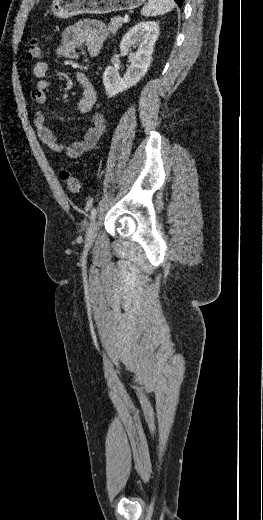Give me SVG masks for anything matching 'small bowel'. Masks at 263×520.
Wrapping results in <instances>:
<instances>
[{
  "label": "small bowel",
  "instance_id": "obj_1",
  "mask_svg": "<svg viewBox=\"0 0 263 520\" xmlns=\"http://www.w3.org/2000/svg\"><path fill=\"white\" fill-rule=\"evenodd\" d=\"M107 36L105 25L97 20H83L68 27L62 34L61 43L56 49L58 57L73 60L77 56V49L85 46L90 55L96 56ZM49 64L46 61L37 62L33 67V75L37 79L36 87L31 93V98L37 105H45L47 101L46 91L50 87L47 78ZM76 79L83 92L78 102V111L88 113L93 108L97 90L82 72L76 73ZM33 123L40 141L51 151L62 154L67 158L75 159L92 150L105 131V118L101 114H94L91 125L83 137L69 145L59 142L54 131L46 125V114L43 110H37Z\"/></svg>",
  "mask_w": 263,
  "mask_h": 520
}]
</instances>
